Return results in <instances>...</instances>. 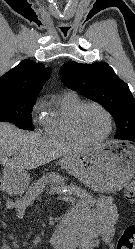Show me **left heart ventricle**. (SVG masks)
I'll return each instance as SVG.
<instances>
[{
  "mask_svg": "<svg viewBox=\"0 0 135 249\" xmlns=\"http://www.w3.org/2000/svg\"><path fill=\"white\" fill-rule=\"evenodd\" d=\"M79 125L84 135L91 139L103 137L108 129L106 116L95 107H89L83 111Z\"/></svg>",
  "mask_w": 135,
  "mask_h": 249,
  "instance_id": "left-heart-ventricle-1",
  "label": "left heart ventricle"
}]
</instances>
